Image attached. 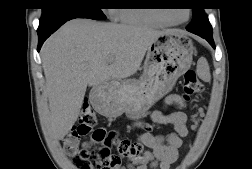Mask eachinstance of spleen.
<instances>
[{"label": "spleen", "mask_w": 252, "mask_h": 169, "mask_svg": "<svg viewBox=\"0 0 252 169\" xmlns=\"http://www.w3.org/2000/svg\"><path fill=\"white\" fill-rule=\"evenodd\" d=\"M197 73L200 79L205 82H210L211 75L208 62L205 58H200L197 62Z\"/></svg>", "instance_id": "1"}]
</instances>
